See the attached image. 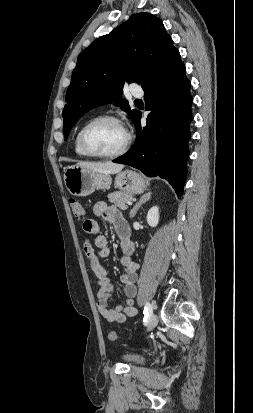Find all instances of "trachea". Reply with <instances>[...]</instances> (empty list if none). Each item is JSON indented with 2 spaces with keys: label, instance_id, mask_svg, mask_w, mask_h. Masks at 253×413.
Here are the masks:
<instances>
[{
  "label": "trachea",
  "instance_id": "1",
  "mask_svg": "<svg viewBox=\"0 0 253 413\" xmlns=\"http://www.w3.org/2000/svg\"><path fill=\"white\" fill-rule=\"evenodd\" d=\"M136 103L142 102L140 99L135 100Z\"/></svg>",
  "mask_w": 253,
  "mask_h": 413
}]
</instances>
